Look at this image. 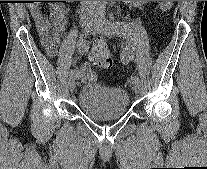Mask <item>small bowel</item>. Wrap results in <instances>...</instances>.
<instances>
[{"label": "small bowel", "mask_w": 207, "mask_h": 169, "mask_svg": "<svg viewBox=\"0 0 207 169\" xmlns=\"http://www.w3.org/2000/svg\"><path fill=\"white\" fill-rule=\"evenodd\" d=\"M71 2V1H67ZM140 5L147 1H130ZM31 14L35 20L37 32L41 45L49 57H55L58 48L62 43V35L65 31L67 22V8L63 3H58L51 9L50 17L45 16L38 8L32 7ZM80 52V51H79ZM79 78L83 80H91L94 72L89 64L82 65L78 70Z\"/></svg>", "instance_id": "small-bowel-1"}]
</instances>
